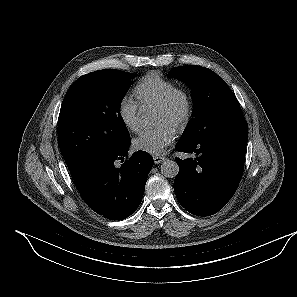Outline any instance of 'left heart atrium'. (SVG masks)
<instances>
[{
  "label": "left heart atrium",
  "mask_w": 297,
  "mask_h": 297,
  "mask_svg": "<svg viewBox=\"0 0 297 297\" xmlns=\"http://www.w3.org/2000/svg\"><path fill=\"white\" fill-rule=\"evenodd\" d=\"M175 139V130L168 123H162L157 127L146 129L137 136L133 145L135 149L152 155L163 153Z\"/></svg>",
  "instance_id": "39dd6f15"
}]
</instances>
